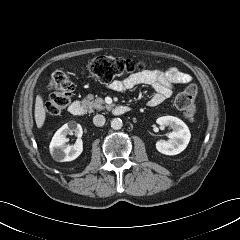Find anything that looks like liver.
Segmentation results:
<instances>
[{
	"label": "liver",
	"instance_id": "6515ba94",
	"mask_svg": "<svg viewBox=\"0 0 240 240\" xmlns=\"http://www.w3.org/2000/svg\"><path fill=\"white\" fill-rule=\"evenodd\" d=\"M46 118V109L43 105V99L39 95L36 98L35 102V121L38 128H41L45 122Z\"/></svg>",
	"mask_w": 240,
	"mask_h": 240
}]
</instances>
